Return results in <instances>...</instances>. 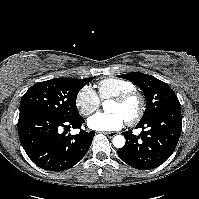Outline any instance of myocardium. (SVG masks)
Here are the masks:
<instances>
[{"mask_svg":"<svg viewBox=\"0 0 199 199\" xmlns=\"http://www.w3.org/2000/svg\"><path fill=\"white\" fill-rule=\"evenodd\" d=\"M131 99L137 100L138 107L137 111L132 116L127 118V122L129 124H135L142 118L146 109V100L144 95L140 91L135 89L112 98V101L118 104H125Z\"/></svg>","mask_w":199,"mask_h":199,"instance_id":"myocardium-1","label":"myocardium"}]
</instances>
